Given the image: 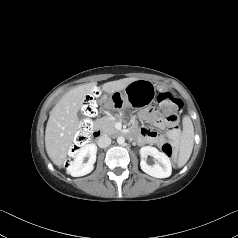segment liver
Segmentation results:
<instances>
[{"label":"liver","mask_w":238,"mask_h":238,"mask_svg":"<svg viewBox=\"0 0 238 238\" xmlns=\"http://www.w3.org/2000/svg\"><path fill=\"white\" fill-rule=\"evenodd\" d=\"M134 80L136 78L107 82L102 85V90L107 93L121 91ZM96 86V82L79 85L66 93L50 111L45 130V147L49 158L55 165L61 166L65 161L79 129L77 113L86 95L91 93Z\"/></svg>","instance_id":"obj_1"}]
</instances>
